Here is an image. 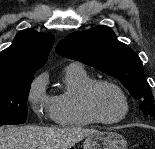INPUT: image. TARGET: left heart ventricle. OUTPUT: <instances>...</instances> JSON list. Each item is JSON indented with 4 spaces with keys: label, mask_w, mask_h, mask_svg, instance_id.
Returning a JSON list of instances; mask_svg holds the SVG:
<instances>
[{
    "label": "left heart ventricle",
    "mask_w": 155,
    "mask_h": 149,
    "mask_svg": "<svg viewBox=\"0 0 155 149\" xmlns=\"http://www.w3.org/2000/svg\"><path fill=\"white\" fill-rule=\"evenodd\" d=\"M93 103L100 117L106 120L119 117L124 108L118 92L107 85H102L96 89L93 95Z\"/></svg>",
    "instance_id": "left-heart-ventricle-1"
}]
</instances>
